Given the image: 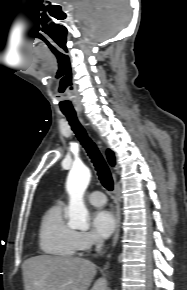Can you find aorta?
<instances>
[{"label":"aorta","instance_id":"762f6f07","mask_svg":"<svg viewBox=\"0 0 187 290\" xmlns=\"http://www.w3.org/2000/svg\"><path fill=\"white\" fill-rule=\"evenodd\" d=\"M90 170L84 165L74 166L69 172L66 190L69 195V226L73 229L89 228L88 211L83 196L90 182Z\"/></svg>","mask_w":187,"mask_h":290}]
</instances>
